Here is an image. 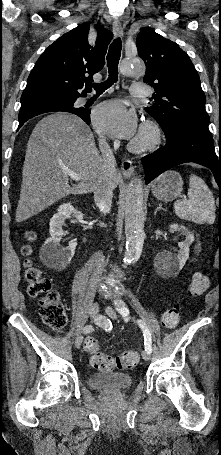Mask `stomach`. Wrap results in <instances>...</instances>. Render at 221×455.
Wrapping results in <instances>:
<instances>
[{"label":"stomach","mask_w":221,"mask_h":455,"mask_svg":"<svg viewBox=\"0 0 221 455\" xmlns=\"http://www.w3.org/2000/svg\"><path fill=\"white\" fill-rule=\"evenodd\" d=\"M183 190V180L176 171H167L152 183L153 195L161 201L170 202L177 198Z\"/></svg>","instance_id":"0dacf381"}]
</instances>
